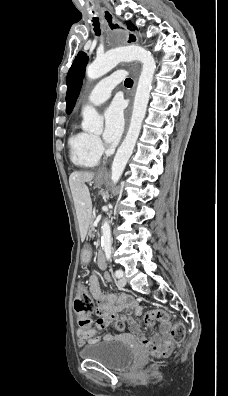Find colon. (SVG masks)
<instances>
[{
    "mask_svg": "<svg viewBox=\"0 0 228 396\" xmlns=\"http://www.w3.org/2000/svg\"><path fill=\"white\" fill-rule=\"evenodd\" d=\"M94 309L93 301L82 283L78 284L74 300V310L77 315L78 326L81 329L90 326L88 314ZM144 321L148 326H154L158 321L170 331L173 342L179 343L185 337V327L181 322L173 321L169 313L163 309L157 308L147 312ZM117 327L122 329L124 324L117 322Z\"/></svg>",
    "mask_w": 228,
    "mask_h": 396,
    "instance_id": "obj_1",
    "label": "colon"
}]
</instances>
